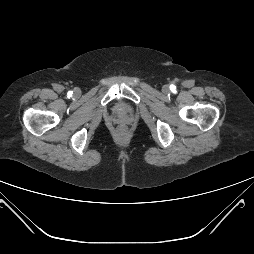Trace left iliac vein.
Here are the masks:
<instances>
[{
	"label": "left iliac vein",
	"instance_id": "left-iliac-vein-1",
	"mask_svg": "<svg viewBox=\"0 0 254 254\" xmlns=\"http://www.w3.org/2000/svg\"><path fill=\"white\" fill-rule=\"evenodd\" d=\"M163 92L167 93L169 91V87L167 85L163 86Z\"/></svg>",
	"mask_w": 254,
	"mask_h": 254
}]
</instances>
